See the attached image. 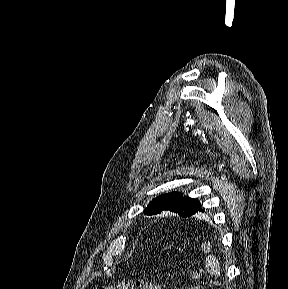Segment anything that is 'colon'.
<instances>
[{
    "instance_id": "1",
    "label": "colon",
    "mask_w": 288,
    "mask_h": 289,
    "mask_svg": "<svg viewBox=\"0 0 288 289\" xmlns=\"http://www.w3.org/2000/svg\"><path fill=\"white\" fill-rule=\"evenodd\" d=\"M134 287L135 284L130 279H122L99 289H134ZM136 287L138 289H161V286L157 282H140Z\"/></svg>"
}]
</instances>
